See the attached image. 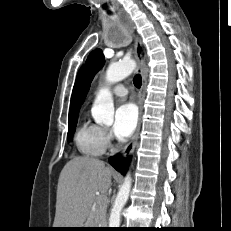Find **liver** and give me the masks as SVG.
<instances>
[{
  "mask_svg": "<svg viewBox=\"0 0 231 231\" xmlns=\"http://www.w3.org/2000/svg\"><path fill=\"white\" fill-rule=\"evenodd\" d=\"M112 169L99 159L74 157L62 169L57 186L54 228H82L90 224L96 193L105 196Z\"/></svg>",
  "mask_w": 231,
  "mask_h": 231,
  "instance_id": "1",
  "label": "liver"
}]
</instances>
